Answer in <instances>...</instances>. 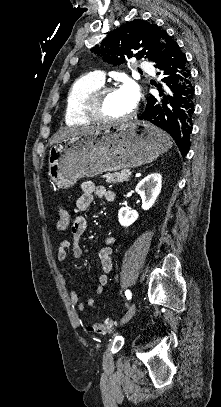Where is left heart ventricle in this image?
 Here are the masks:
<instances>
[{
	"label": "left heart ventricle",
	"instance_id": "obj_1",
	"mask_svg": "<svg viewBox=\"0 0 221 407\" xmlns=\"http://www.w3.org/2000/svg\"><path fill=\"white\" fill-rule=\"evenodd\" d=\"M133 110L120 90L108 93L104 99V111L112 118L122 117Z\"/></svg>",
	"mask_w": 221,
	"mask_h": 407
}]
</instances>
